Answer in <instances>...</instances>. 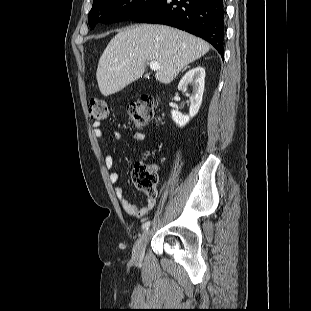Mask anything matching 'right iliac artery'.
Wrapping results in <instances>:
<instances>
[{
	"mask_svg": "<svg viewBox=\"0 0 311 311\" xmlns=\"http://www.w3.org/2000/svg\"><path fill=\"white\" fill-rule=\"evenodd\" d=\"M150 223H151L150 221L145 222V223L142 225V229H143V230L148 229L149 226H150Z\"/></svg>",
	"mask_w": 311,
	"mask_h": 311,
	"instance_id": "right-iliac-artery-1",
	"label": "right iliac artery"
}]
</instances>
